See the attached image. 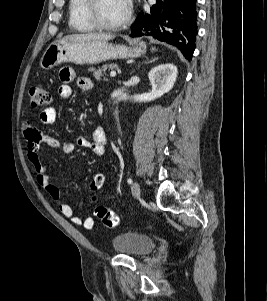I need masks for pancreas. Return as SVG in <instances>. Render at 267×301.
Masks as SVG:
<instances>
[{
	"mask_svg": "<svg viewBox=\"0 0 267 301\" xmlns=\"http://www.w3.org/2000/svg\"><path fill=\"white\" fill-rule=\"evenodd\" d=\"M116 67H117V65H115V64H106V65H103L102 67H99L98 69L91 68V71L93 72L95 79L100 80L102 76L106 75L107 69H114Z\"/></svg>",
	"mask_w": 267,
	"mask_h": 301,
	"instance_id": "1",
	"label": "pancreas"
}]
</instances>
